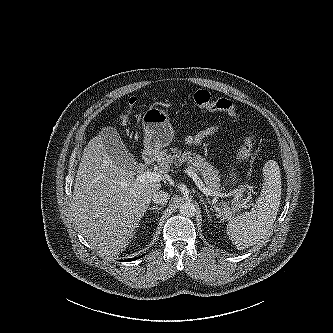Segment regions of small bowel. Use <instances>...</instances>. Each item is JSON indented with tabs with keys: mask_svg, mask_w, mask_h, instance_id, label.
<instances>
[{
	"mask_svg": "<svg viewBox=\"0 0 333 333\" xmlns=\"http://www.w3.org/2000/svg\"><path fill=\"white\" fill-rule=\"evenodd\" d=\"M222 129H223L222 124L211 126L197 132L196 134L184 136L183 141L187 145L197 146L202 144L205 140L217 135Z\"/></svg>",
	"mask_w": 333,
	"mask_h": 333,
	"instance_id": "small-bowel-1",
	"label": "small bowel"
}]
</instances>
